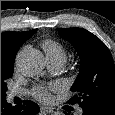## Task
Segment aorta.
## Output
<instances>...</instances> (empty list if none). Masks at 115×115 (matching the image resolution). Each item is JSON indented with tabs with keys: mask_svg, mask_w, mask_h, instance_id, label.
<instances>
[{
	"mask_svg": "<svg viewBox=\"0 0 115 115\" xmlns=\"http://www.w3.org/2000/svg\"><path fill=\"white\" fill-rule=\"evenodd\" d=\"M16 64L19 71L25 76L38 75L44 69V56L36 49H26L18 53ZM52 115H65L55 111Z\"/></svg>",
	"mask_w": 115,
	"mask_h": 115,
	"instance_id": "obj_1",
	"label": "aorta"
}]
</instances>
